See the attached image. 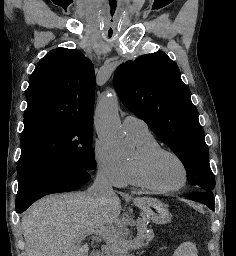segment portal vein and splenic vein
I'll use <instances>...</instances> for the list:
<instances>
[{
	"mask_svg": "<svg viewBox=\"0 0 236 256\" xmlns=\"http://www.w3.org/2000/svg\"><path fill=\"white\" fill-rule=\"evenodd\" d=\"M117 226L119 228L120 224H117ZM108 232H110V230H105V228H95L94 230V234H96V236H105Z\"/></svg>",
	"mask_w": 236,
	"mask_h": 256,
	"instance_id": "portal-vein-and-splenic-vein-1",
	"label": "portal vein and splenic vein"
}]
</instances>
